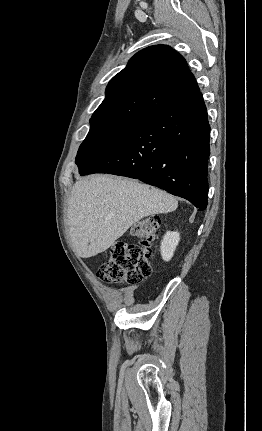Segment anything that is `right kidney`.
<instances>
[{
	"mask_svg": "<svg viewBox=\"0 0 262 431\" xmlns=\"http://www.w3.org/2000/svg\"><path fill=\"white\" fill-rule=\"evenodd\" d=\"M179 240L180 236L178 232L168 231L164 235L160 247L163 260L169 261L172 258L174 251L179 243Z\"/></svg>",
	"mask_w": 262,
	"mask_h": 431,
	"instance_id": "1",
	"label": "right kidney"
}]
</instances>
